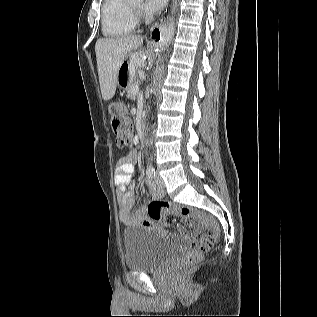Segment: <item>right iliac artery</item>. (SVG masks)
I'll list each match as a JSON object with an SVG mask.
<instances>
[{
    "label": "right iliac artery",
    "mask_w": 317,
    "mask_h": 317,
    "mask_svg": "<svg viewBox=\"0 0 317 317\" xmlns=\"http://www.w3.org/2000/svg\"><path fill=\"white\" fill-rule=\"evenodd\" d=\"M146 174H147L149 179H151V180L155 179L156 173H155V169L153 167L148 168L146 171Z\"/></svg>",
    "instance_id": "obj_1"
}]
</instances>
